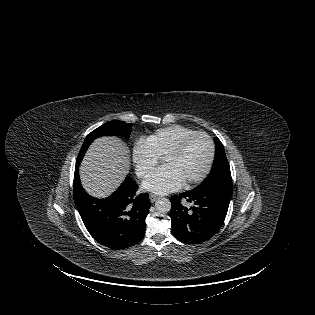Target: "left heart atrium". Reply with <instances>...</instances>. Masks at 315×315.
Wrapping results in <instances>:
<instances>
[{"label":"left heart atrium","mask_w":315,"mask_h":315,"mask_svg":"<svg viewBox=\"0 0 315 315\" xmlns=\"http://www.w3.org/2000/svg\"><path fill=\"white\" fill-rule=\"evenodd\" d=\"M184 180L171 167L164 165L153 171L143 182V187L157 194H166L182 186Z\"/></svg>","instance_id":"39dd6f15"}]
</instances>
